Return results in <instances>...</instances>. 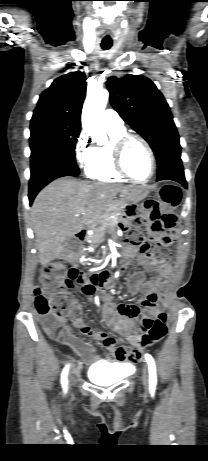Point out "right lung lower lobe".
I'll return each mask as SVG.
<instances>
[{
	"mask_svg": "<svg viewBox=\"0 0 208 461\" xmlns=\"http://www.w3.org/2000/svg\"><path fill=\"white\" fill-rule=\"evenodd\" d=\"M64 176H78V174L66 169L65 167H49L38 174L31 176L29 182V201L32 204L37 193L51 181Z\"/></svg>",
	"mask_w": 208,
	"mask_h": 461,
	"instance_id": "98d812e1",
	"label": "right lung lower lobe"
}]
</instances>
